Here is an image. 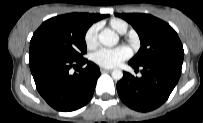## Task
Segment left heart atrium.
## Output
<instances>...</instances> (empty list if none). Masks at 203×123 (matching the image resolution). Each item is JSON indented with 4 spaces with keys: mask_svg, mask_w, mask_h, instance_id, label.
Wrapping results in <instances>:
<instances>
[{
    "mask_svg": "<svg viewBox=\"0 0 203 123\" xmlns=\"http://www.w3.org/2000/svg\"><path fill=\"white\" fill-rule=\"evenodd\" d=\"M131 56V50L126 46L116 48H100L93 55L92 60L99 66L113 68L120 65Z\"/></svg>",
    "mask_w": 203,
    "mask_h": 123,
    "instance_id": "obj_1",
    "label": "left heart atrium"
}]
</instances>
